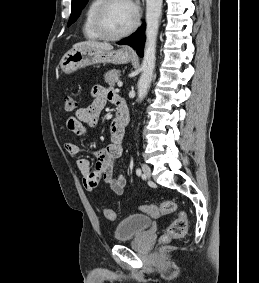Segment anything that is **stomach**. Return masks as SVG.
<instances>
[{"label": "stomach", "instance_id": "obj_1", "mask_svg": "<svg viewBox=\"0 0 259 283\" xmlns=\"http://www.w3.org/2000/svg\"><path fill=\"white\" fill-rule=\"evenodd\" d=\"M132 55L125 49L105 50L88 46L71 49L60 61L64 73H72L79 68L99 63L123 64L128 63Z\"/></svg>", "mask_w": 259, "mask_h": 283}]
</instances>
